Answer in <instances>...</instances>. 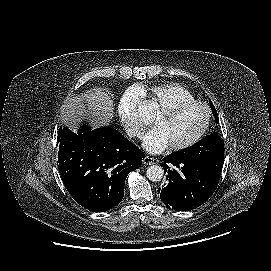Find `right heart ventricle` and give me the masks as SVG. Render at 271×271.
Wrapping results in <instances>:
<instances>
[{"label": "right heart ventricle", "instance_id": "right-heart-ventricle-1", "mask_svg": "<svg viewBox=\"0 0 271 271\" xmlns=\"http://www.w3.org/2000/svg\"><path fill=\"white\" fill-rule=\"evenodd\" d=\"M147 90L149 101L156 105L158 109L175 103L194 100L193 95L187 89L176 84L156 85ZM143 91L146 90L143 89Z\"/></svg>", "mask_w": 271, "mask_h": 271}]
</instances>
